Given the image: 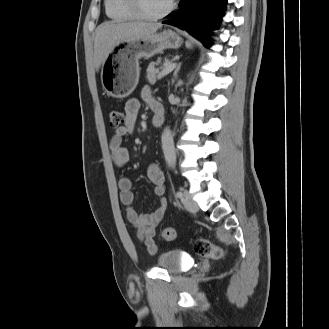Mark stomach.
<instances>
[{"instance_id":"obj_1","label":"stomach","mask_w":329,"mask_h":329,"mask_svg":"<svg viewBox=\"0 0 329 329\" xmlns=\"http://www.w3.org/2000/svg\"><path fill=\"white\" fill-rule=\"evenodd\" d=\"M182 42V38L172 30L119 41L102 64L104 90L114 98L129 96L139 81V60L150 58L165 49H177Z\"/></svg>"}]
</instances>
